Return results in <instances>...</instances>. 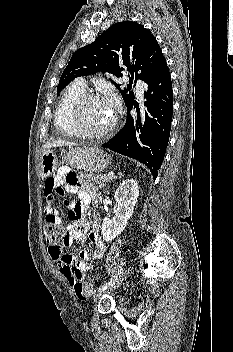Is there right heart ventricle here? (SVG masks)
I'll list each match as a JSON object with an SVG mask.
<instances>
[{"instance_id":"1","label":"right heart ventricle","mask_w":233,"mask_h":352,"mask_svg":"<svg viewBox=\"0 0 233 352\" xmlns=\"http://www.w3.org/2000/svg\"><path fill=\"white\" fill-rule=\"evenodd\" d=\"M85 93V88L77 83L69 85L63 93L54 115V124L56 129L64 136L76 137L70 122V114L73 105L77 99Z\"/></svg>"}]
</instances>
